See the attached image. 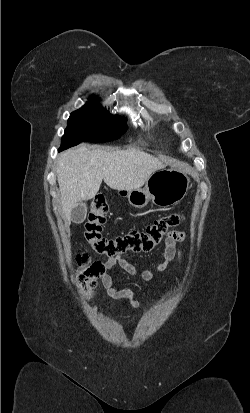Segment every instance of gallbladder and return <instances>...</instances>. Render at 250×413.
Here are the masks:
<instances>
[{
    "label": "gallbladder",
    "instance_id": "obj_1",
    "mask_svg": "<svg viewBox=\"0 0 250 413\" xmlns=\"http://www.w3.org/2000/svg\"><path fill=\"white\" fill-rule=\"evenodd\" d=\"M87 215V206L84 203H79L71 211V220L76 224L82 223Z\"/></svg>",
    "mask_w": 250,
    "mask_h": 413
}]
</instances>
